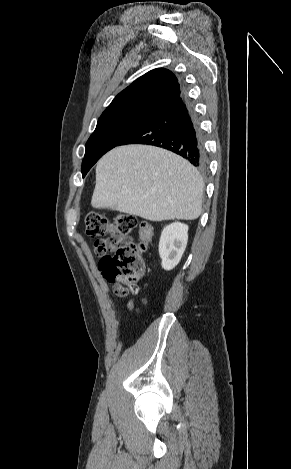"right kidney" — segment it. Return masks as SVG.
I'll return each instance as SVG.
<instances>
[{
    "mask_svg": "<svg viewBox=\"0 0 291 469\" xmlns=\"http://www.w3.org/2000/svg\"><path fill=\"white\" fill-rule=\"evenodd\" d=\"M188 241V226L175 222L166 226L159 241L161 265L165 270H172L181 260Z\"/></svg>",
    "mask_w": 291,
    "mask_h": 469,
    "instance_id": "obj_1",
    "label": "right kidney"
}]
</instances>
